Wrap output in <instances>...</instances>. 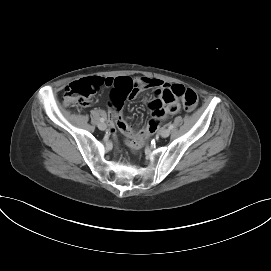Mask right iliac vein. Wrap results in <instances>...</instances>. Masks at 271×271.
Wrapping results in <instances>:
<instances>
[{"label":"right iliac vein","mask_w":271,"mask_h":271,"mask_svg":"<svg viewBox=\"0 0 271 271\" xmlns=\"http://www.w3.org/2000/svg\"><path fill=\"white\" fill-rule=\"evenodd\" d=\"M98 128H99L100 130L104 131V130H106L107 125H106V123L101 122V123L98 124Z\"/></svg>","instance_id":"right-iliac-vein-1"}]
</instances>
